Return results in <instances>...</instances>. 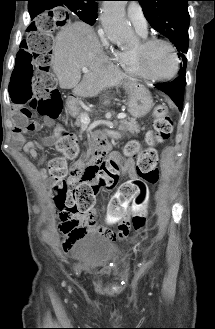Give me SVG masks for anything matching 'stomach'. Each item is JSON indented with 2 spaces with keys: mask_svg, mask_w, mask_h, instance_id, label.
Returning a JSON list of instances; mask_svg holds the SVG:
<instances>
[{
  "mask_svg": "<svg viewBox=\"0 0 215 329\" xmlns=\"http://www.w3.org/2000/svg\"><path fill=\"white\" fill-rule=\"evenodd\" d=\"M125 89L128 94V112L134 118H141L147 115L154 106L149 90L136 83L125 84ZM67 108L70 113L79 111L77 100L70 99L67 102Z\"/></svg>",
  "mask_w": 215,
  "mask_h": 329,
  "instance_id": "obj_1",
  "label": "stomach"
}]
</instances>
